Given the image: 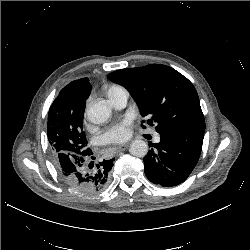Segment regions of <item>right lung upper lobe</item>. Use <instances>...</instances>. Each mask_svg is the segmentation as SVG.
I'll list each match as a JSON object with an SVG mask.
<instances>
[{"mask_svg":"<svg viewBox=\"0 0 250 250\" xmlns=\"http://www.w3.org/2000/svg\"><path fill=\"white\" fill-rule=\"evenodd\" d=\"M91 85L88 78L72 81L65 86L53 102L49 112L58 107V119H74L82 112L84 114L85 101L89 97Z\"/></svg>","mask_w":250,"mask_h":250,"instance_id":"1","label":"right lung upper lobe"}]
</instances>
